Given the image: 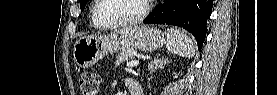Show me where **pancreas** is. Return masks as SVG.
I'll return each instance as SVG.
<instances>
[{
  "mask_svg": "<svg viewBox=\"0 0 277 95\" xmlns=\"http://www.w3.org/2000/svg\"><path fill=\"white\" fill-rule=\"evenodd\" d=\"M135 55L134 50H123L116 55L115 64L118 65L123 62L130 61Z\"/></svg>",
  "mask_w": 277,
  "mask_h": 95,
  "instance_id": "obj_1",
  "label": "pancreas"
}]
</instances>
